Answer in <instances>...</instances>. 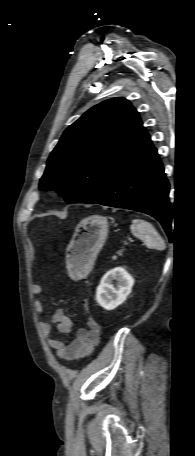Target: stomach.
<instances>
[{
  "instance_id": "1",
  "label": "stomach",
  "mask_w": 195,
  "mask_h": 456,
  "mask_svg": "<svg viewBox=\"0 0 195 456\" xmlns=\"http://www.w3.org/2000/svg\"><path fill=\"white\" fill-rule=\"evenodd\" d=\"M108 228L107 219L100 215L86 217L78 223L66 254L72 277H85L92 270L107 239Z\"/></svg>"
}]
</instances>
